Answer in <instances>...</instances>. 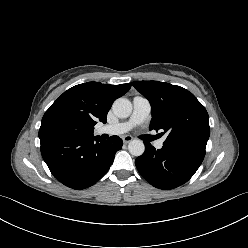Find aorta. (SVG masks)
<instances>
[{"mask_svg": "<svg viewBox=\"0 0 248 248\" xmlns=\"http://www.w3.org/2000/svg\"><path fill=\"white\" fill-rule=\"evenodd\" d=\"M112 109L117 117L127 118L132 112V104L128 99L120 97L114 101ZM128 150L133 156H141L144 153L145 146L141 140L134 139L129 142Z\"/></svg>", "mask_w": 248, "mask_h": 248, "instance_id": "762f6f07", "label": "aorta"}]
</instances>
